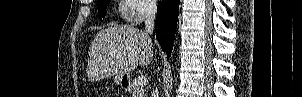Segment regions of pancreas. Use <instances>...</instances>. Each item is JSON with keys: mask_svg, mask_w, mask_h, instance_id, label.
I'll return each instance as SVG.
<instances>
[{"mask_svg": "<svg viewBox=\"0 0 302 97\" xmlns=\"http://www.w3.org/2000/svg\"><path fill=\"white\" fill-rule=\"evenodd\" d=\"M129 93L131 97H146L144 89L138 86L136 81H133Z\"/></svg>", "mask_w": 302, "mask_h": 97, "instance_id": "cf45deb5", "label": "pancreas"}]
</instances>
